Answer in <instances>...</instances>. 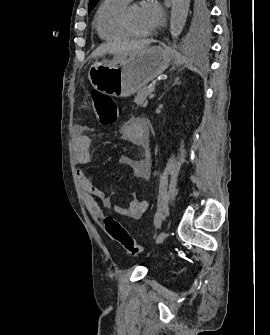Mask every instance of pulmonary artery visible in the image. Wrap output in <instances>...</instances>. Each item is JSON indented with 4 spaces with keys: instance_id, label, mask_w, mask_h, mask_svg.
<instances>
[{
    "instance_id": "obj_1",
    "label": "pulmonary artery",
    "mask_w": 270,
    "mask_h": 335,
    "mask_svg": "<svg viewBox=\"0 0 270 335\" xmlns=\"http://www.w3.org/2000/svg\"><path fill=\"white\" fill-rule=\"evenodd\" d=\"M123 2H126V3H131V2H133V0H122Z\"/></svg>"
}]
</instances>
